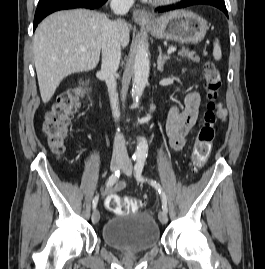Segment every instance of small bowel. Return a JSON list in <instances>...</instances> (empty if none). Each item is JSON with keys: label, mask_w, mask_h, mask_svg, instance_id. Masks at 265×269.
I'll use <instances>...</instances> for the list:
<instances>
[{"label": "small bowel", "mask_w": 265, "mask_h": 269, "mask_svg": "<svg viewBox=\"0 0 265 269\" xmlns=\"http://www.w3.org/2000/svg\"><path fill=\"white\" fill-rule=\"evenodd\" d=\"M202 107V98L196 91H190L184 101L183 110H179L177 106H172L167 122L166 133L168 136L169 146L173 151H181L187 142V137L194 132L195 123ZM218 116L221 120H226V110L219 105ZM125 181H119L113 186L105 188L102 192V198L121 191L126 187Z\"/></svg>", "instance_id": "obj_1"}]
</instances>
